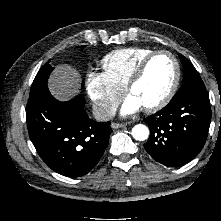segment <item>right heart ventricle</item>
Segmentation results:
<instances>
[{
	"label": "right heart ventricle",
	"mask_w": 221,
	"mask_h": 221,
	"mask_svg": "<svg viewBox=\"0 0 221 221\" xmlns=\"http://www.w3.org/2000/svg\"><path fill=\"white\" fill-rule=\"evenodd\" d=\"M154 50L147 47L116 49L105 55L101 61L104 73L120 88L125 89L140 61Z\"/></svg>",
	"instance_id": "e07e8e85"
}]
</instances>
